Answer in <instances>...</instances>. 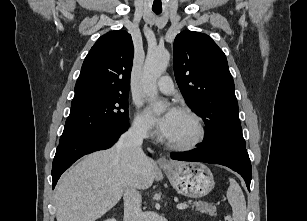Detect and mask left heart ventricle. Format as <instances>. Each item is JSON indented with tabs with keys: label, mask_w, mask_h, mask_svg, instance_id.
Returning a JSON list of instances; mask_svg holds the SVG:
<instances>
[{
	"label": "left heart ventricle",
	"mask_w": 307,
	"mask_h": 221,
	"mask_svg": "<svg viewBox=\"0 0 307 221\" xmlns=\"http://www.w3.org/2000/svg\"><path fill=\"white\" fill-rule=\"evenodd\" d=\"M196 127L191 118L181 113L173 133L168 138L172 142H184L194 137Z\"/></svg>",
	"instance_id": "obj_1"
}]
</instances>
